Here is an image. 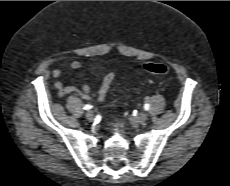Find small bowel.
Wrapping results in <instances>:
<instances>
[{"label":"small bowel","mask_w":230,"mask_h":186,"mask_svg":"<svg viewBox=\"0 0 230 186\" xmlns=\"http://www.w3.org/2000/svg\"><path fill=\"white\" fill-rule=\"evenodd\" d=\"M84 63L79 60H74L70 62L69 67L73 70H79L83 68ZM96 69L100 70V67H96ZM62 75V70L60 68H56L52 71V76L55 79L60 78ZM112 74H108L102 81L100 88L98 89L96 94H93L92 89L89 85H83L81 88H77L72 85H64L61 81H56L54 86L58 91L59 96L63 97L69 94H76L85 100H91L93 97H97L98 99H102L110 86V78H112Z\"/></svg>","instance_id":"1"}]
</instances>
